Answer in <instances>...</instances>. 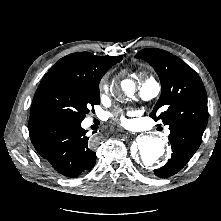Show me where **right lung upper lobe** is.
<instances>
[{"mask_svg":"<svg viewBox=\"0 0 221 221\" xmlns=\"http://www.w3.org/2000/svg\"><path fill=\"white\" fill-rule=\"evenodd\" d=\"M121 60L122 56H95L90 52L73 53L61 58L47 74L62 73L94 82L101 80L102 76Z\"/></svg>","mask_w":221,"mask_h":221,"instance_id":"cb5924a9","label":"right lung upper lobe"}]
</instances>
